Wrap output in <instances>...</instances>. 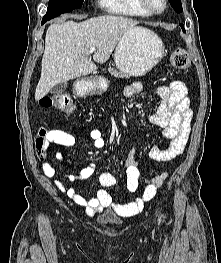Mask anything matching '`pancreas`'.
I'll list each match as a JSON object with an SVG mask.
<instances>
[{
  "label": "pancreas",
  "mask_w": 221,
  "mask_h": 263,
  "mask_svg": "<svg viewBox=\"0 0 221 263\" xmlns=\"http://www.w3.org/2000/svg\"><path fill=\"white\" fill-rule=\"evenodd\" d=\"M108 72L112 75V76H115V77H118V78H128L129 76L121 71H117L113 68H109L108 69Z\"/></svg>",
  "instance_id": "cf45deb5"
}]
</instances>
